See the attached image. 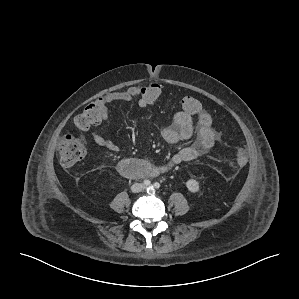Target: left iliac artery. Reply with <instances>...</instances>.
<instances>
[{"mask_svg": "<svg viewBox=\"0 0 299 299\" xmlns=\"http://www.w3.org/2000/svg\"><path fill=\"white\" fill-rule=\"evenodd\" d=\"M154 188L159 189L160 188V184L158 182L154 183Z\"/></svg>", "mask_w": 299, "mask_h": 299, "instance_id": "44dca946", "label": "left iliac artery"}]
</instances>
